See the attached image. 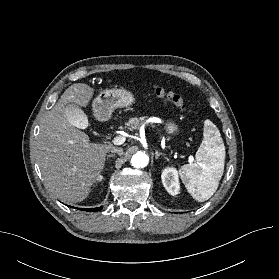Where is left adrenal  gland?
Masks as SVG:
<instances>
[{
	"instance_id": "left-adrenal-gland-1",
	"label": "left adrenal gland",
	"mask_w": 279,
	"mask_h": 279,
	"mask_svg": "<svg viewBox=\"0 0 279 279\" xmlns=\"http://www.w3.org/2000/svg\"><path fill=\"white\" fill-rule=\"evenodd\" d=\"M160 156H164L163 153L158 152L157 150L155 151V159H158Z\"/></svg>"
}]
</instances>
